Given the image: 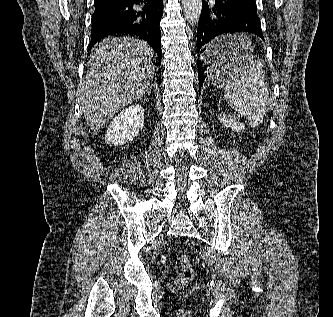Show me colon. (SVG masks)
Wrapping results in <instances>:
<instances>
[{"mask_svg": "<svg viewBox=\"0 0 333 317\" xmlns=\"http://www.w3.org/2000/svg\"><path fill=\"white\" fill-rule=\"evenodd\" d=\"M181 269L177 277V284L180 287H185L194 276L193 267L186 256H182L180 259Z\"/></svg>", "mask_w": 333, "mask_h": 317, "instance_id": "obj_1", "label": "colon"}]
</instances>
